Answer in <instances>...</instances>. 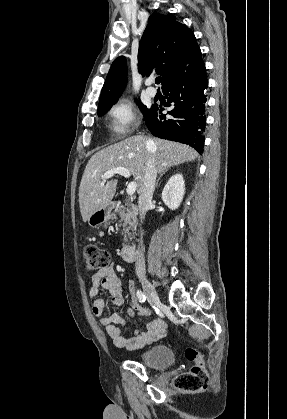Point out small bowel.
Segmentation results:
<instances>
[{
  "instance_id": "obj_1",
  "label": "small bowel",
  "mask_w": 287,
  "mask_h": 419,
  "mask_svg": "<svg viewBox=\"0 0 287 419\" xmlns=\"http://www.w3.org/2000/svg\"><path fill=\"white\" fill-rule=\"evenodd\" d=\"M100 290L109 294L114 306L119 307L124 303L122 284L116 274L114 263L100 269L92 276L89 295L93 299V314L100 319L116 347L139 350L165 336L167 326L164 320L160 318L147 323L144 328L137 331L132 337L123 336L122 325L124 324V317L119 312H115L108 317L105 316L107 303L105 300L97 298ZM134 290L135 286L133 281H129L128 291L131 296V304L135 302ZM127 313L130 317L134 314L131 308Z\"/></svg>"
}]
</instances>
